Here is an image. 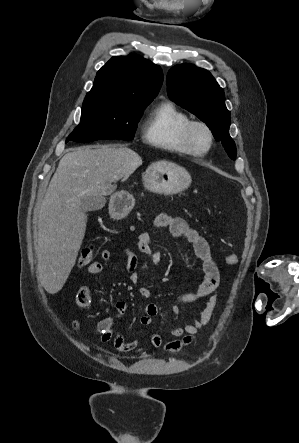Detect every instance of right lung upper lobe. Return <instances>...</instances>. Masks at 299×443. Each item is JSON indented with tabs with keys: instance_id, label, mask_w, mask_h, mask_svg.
<instances>
[{
	"instance_id": "1",
	"label": "right lung upper lobe",
	"mask_w": 299,
	"mask_h": 443,
	"mask_svg": "<svg viewBox=\"0 0 299 443\" xmlns=\"http://www.w3.org/2000/svg\"><path fill=\"white\" fill-rule=\"evenodd\" d=\"M162 83L163 73L159 66L135 54L115 56L97 72L86 97L151 102Z\"/></svg>"
}]
</instances>
